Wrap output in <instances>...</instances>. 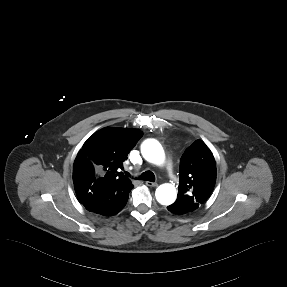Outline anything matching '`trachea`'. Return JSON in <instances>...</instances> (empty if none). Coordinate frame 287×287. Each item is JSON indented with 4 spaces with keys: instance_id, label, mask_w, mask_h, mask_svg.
Instances as JSON below:
<instances>
[{
    "instance_id": "1",
    "label": "trachea",
    "mask_w": 287,
    "mask_h": 287,
    "mask_svg": "<svg viewBox=\"0 0 287 287\" xmlns=\"http://www.w3.org/2000/svg\"><path fill=\"white\" fill-rule=\"evenodd\" d=\"M126 176H130V174L128 172H125ZM138 180H144V181H150V182H154L155 181V175L154 173H152L151 171H146L143 172L140 177L138 178Z\"/></svg>"
}]
</instances>
